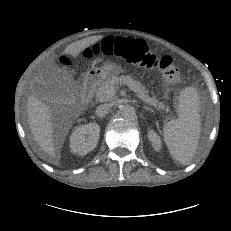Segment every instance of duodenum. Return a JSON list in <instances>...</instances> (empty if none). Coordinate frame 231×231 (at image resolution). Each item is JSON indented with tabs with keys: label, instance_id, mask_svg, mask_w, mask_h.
I'll use <instances>...</instances> for the list:
<instances>
[{
	"label": "duodenum",
	"instance_id": "1",
	"mask_svg": "<svg viewBox=\"0 0 231 231\" xmlns=\"http://www.w3.org/2000/svg\"><path fill=\"white\" fill-rule=\"evenodd\" d=\"M97 83L98 77L95 75H90L86 78L82 95V102L84 105L89 104V102L91 101Z\"/></svg>",
	"mask_w": 231,
	"mask_h": 231
}]
</instances>
